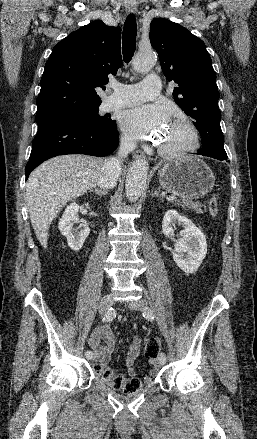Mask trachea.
<instances>
[{
  "label": "trachea",
  "mask_w": 257,
  "mask_h": 439,
  "mask_svg": "<svg viewBox=\"0 0 257 439\" xmlns=\"http://www.w3.org/2000/svg\"><path fill=\"white\" fill-rule=\"evenodd\" d=\"M136 31V19L133 14H130L125 20L122 36L123 58L126 63L131 61L135 52Z\"/></svg>",
  "instance_id": "trachea-1"
}]
</instances>
